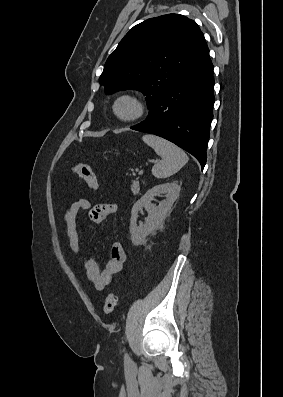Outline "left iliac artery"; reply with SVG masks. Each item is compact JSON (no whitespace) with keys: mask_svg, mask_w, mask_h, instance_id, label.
<instances>
[{"mask_svg":"<svg viewBox=\"0 0 283 397\" xmlns=\"http://www.w3.org/2000/svg\"><path fill=\"white\" fill-rule=\"evenodd\" d=\"M125 359L129 360V356L127 354H125Z\"/></svg>","mask_w":283,"mask_h":397,"instance_id":"1","label":"left iliac artery"}]
</instances>
